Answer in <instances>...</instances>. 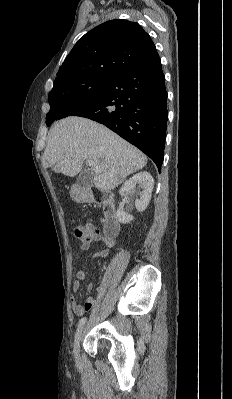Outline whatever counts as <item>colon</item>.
Returning <instances> with one entry per match:
<instances>
[{"label":"colon","instance_id":"1","mask_svg":"<svg viewBox=\"0 0 232 399\" xmlns=\"http://www.w3.org/2000/svg\"><path fill=\"white\" fill-rule=\"evenodd\" d=\"M93 225L89 222H74V231H70V236L75 239H83V244H88L89 240H93Z\"/></svg>","mask_w":232,"mask_h":399}]
</instances>
